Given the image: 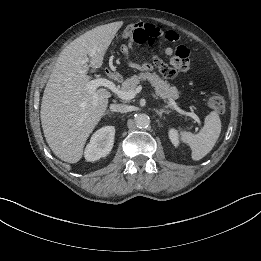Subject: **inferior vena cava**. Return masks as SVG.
I'll list each match as a JSON object with an SVG mask.
<instances>
[{"instance_id": "1", "label": "inferior vena cava", "mask_w": 261, "mask_h": 261, "mask_svg": "<svg viewBox=\"0 0 261 261\" xmlns=\"http://www.w3.org/2000/svg\"><path fill=\"white\" fill-rule=\"evenodd\" d=\"M113 111L126 113L129 111V106L125 104H112L110 107Z\"/></svg>"}]
</instances>
